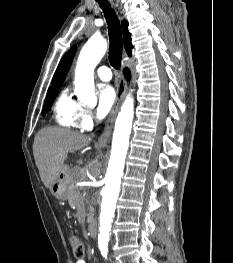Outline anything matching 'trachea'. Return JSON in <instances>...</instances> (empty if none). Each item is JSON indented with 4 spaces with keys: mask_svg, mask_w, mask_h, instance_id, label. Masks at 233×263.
<instances>
[{
    "mask_svg": "<svg viewBox=\"0 0 233 263\" xmlns=\"http://www.w3.org/2000/svg\"><path fill=\"white\" fill-rule=\"evenodd\" d=\"M100 7L102 8L106 22L108 24V34L110 40L109 47V62L115 68L119 69L122 59V33L119 20L112 10L107 0H97Z\"/></svg>",
    "mask_w": 233,
    "mask_h": 263,
    "instance_id": "3493384b",
    "label": "trachea"
}]
</instances>
